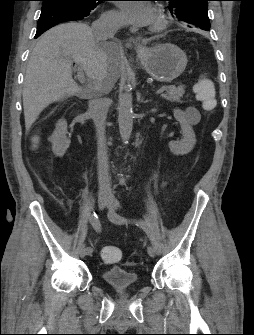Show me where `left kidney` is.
<instances>
[{
  "label": "left kidney",
  "mask_w": 254,
  "mask_h": 335,
  "mask_svg": "<svg viewBox=\"0 0 254 335\" xmlns=\"http://www.w3.org/2000/svg\"><path fill=\"white\" fill-rule=\"evenodd\" d=\"M173 113L175 119L180 123L183 138L180 141H171L168 146L174 155H186L193 150L196 144L195 133L182 110L174 109Z\"/></svg>",
  "instance_id": "1"
}]
</instances>
